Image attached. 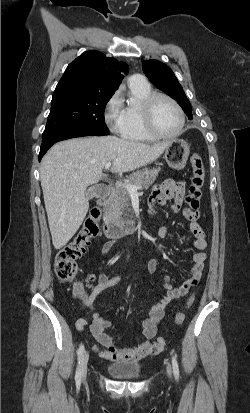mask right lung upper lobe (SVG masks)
<instances>
[{"mask_svg":"<svg viewBox=\"0 0 250 413\" xmlns=\"http://www.w3.org/2000/svg\"><path fill=\"white\" fill-rule=\"evenodd\" d=\"M128 65L107 58L99 51H86L70 63L56 88L78 86L83 89L115 92Z\"/></svg>","mask_w":250,"mask_h":413,"instance_id":"cb5924a9","label":"right lung upper lobe"}]
</instances>
